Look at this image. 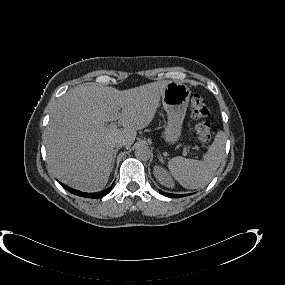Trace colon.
Listing matches in <instances>:
<instances>
[{
  "label": "colon",
  "instance_id": "1",
  "mask_svg": "<svg viewBox=\"0 0 285 285\" xmlns=\"http://www.w3.org/2000/svg\"><path fill=\"white\" fill-rule=\"evenodd\" d=\"M192 117L196 120V136L202 143H207L211 139V125L207 120L208 109L205 99L198 94L192 96L190 101Z\"/></svg>",
  "mask_w": 285,
  "mask_h": 285
}]
</instances>
